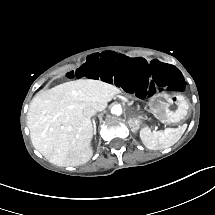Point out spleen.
Segmentation results:
<instances>
[{"mask_svg":"<svg viewBox=\"0 0 215 215\" xmlns=\"http://www.w3.org/2000/svg\"><path fill=\"white\" fill-rule=\"evenodd\" d=\"M181 138L179 128H166L152 133L149 127L140 130V139L146 148L160 150L173 146Z\"/></svg>","mask_w":215,"mask_h":215,"instance_id":"1","label":"spleen"}]
</instances>
